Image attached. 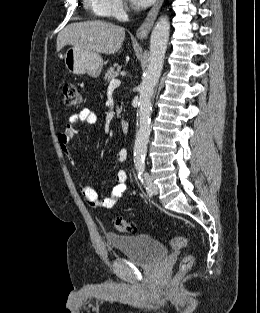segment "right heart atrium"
I'll return each instance as SVG.
<instances>
[{
    "instance_id": "obj_1",
    "label": "right heart atrium",
    "mask_w": 260,
    "mask_h": 313,
    "mask_svg": "<svg viewBox=\"0 0 260 313\" xmlns=\"http://www.w3.org/2000/svg\"><path fill=\"white\" fill-rule=\"evenodd\" d=\"M106 16L113 18H121L125 12V4L123 0H102Z\"/></svg>"
}]
</instances>
